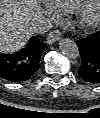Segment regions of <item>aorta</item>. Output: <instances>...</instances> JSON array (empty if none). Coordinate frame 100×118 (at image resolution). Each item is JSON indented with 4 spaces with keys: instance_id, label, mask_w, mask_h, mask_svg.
<instances>
[{
    "instance_id": "obj_1",
    "label": "aorta",
    "mask_w": 100,
    "mask_h": 118,
    "mask_svg": "<svg viewBox=\"0 0 100 118\" xmlns=\"http://www.w3.org/2000/svg\"><path fill=\"white\" fill-rule=\"evenodd\" d=\"M59 49L61 53L70 59H76L79 56V49L77 44L68 38L62 39L59 42Z\"/></svg>"
}]
</instances>
